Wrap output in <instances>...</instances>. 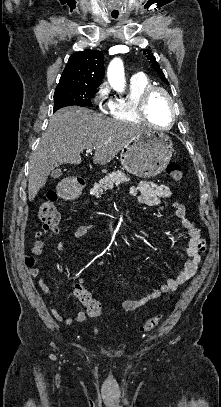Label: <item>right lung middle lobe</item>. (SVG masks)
<instances>
[{
	"mask_svg": "<svg viewBox=\"0 0 221 407\" xmlns=\"http://www.w3.org/2000/svg\"><path fill=\"white\" fill-rule=\"evenodd\" d=\"M96 87L67 86L56 88L54 93V111L65 106L92 107L90 97L96 91Z\"/></svg>",
	"mask_w": 221,
	"mask_h": 407,
	"instance_id": "dd1d6c3e",
	"label": "right lung middle lobe"
}]
</instances>
